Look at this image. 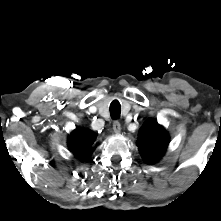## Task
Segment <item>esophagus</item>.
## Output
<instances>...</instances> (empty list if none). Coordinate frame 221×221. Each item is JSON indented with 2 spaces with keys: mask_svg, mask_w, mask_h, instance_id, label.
<instances>
[{
  "mask_svg": "<svg viewBox=\"0 0 221 221\" xmlns=\"http://www.w3.org/2000/svg\"><path fill=\"white\" fill-rule=\"evenodd\" d=\"M113 130H114L115 133H120L121 124L118 121L113 122Z\"/></svg>",
  "mask_w": 221,
  "mask_h": 221,
  "instance_id": "34e87169",
  "label": "esophagus"
}]
</instances>
